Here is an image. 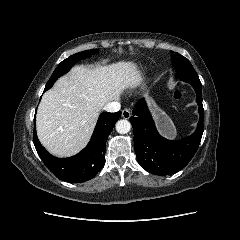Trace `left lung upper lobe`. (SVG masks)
<instances>
[{"instance_id": "5c2ea615", "label": "left lung upper lobe", "mask_w": 240, "mask_h": 240, "mask_svg": "<svg viewBox=\"0 0 240 240\" xmlns=\"http://www.w3.org/2000/svg\"><path fill=\"white\" fill-rule=\"evenodd\" d=\"M172 64L176 69V77L181 80H197L199 79L195 69L190 61L184 56L171 52Z\"/></svg>"}]
</instances>
